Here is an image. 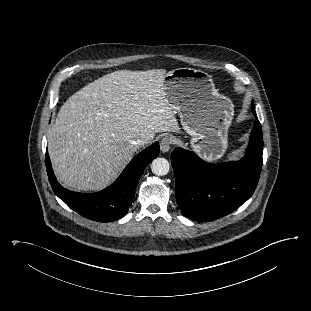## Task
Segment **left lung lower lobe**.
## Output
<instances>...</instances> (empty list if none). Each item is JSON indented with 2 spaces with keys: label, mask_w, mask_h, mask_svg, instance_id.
<instances>
[{
  "label": "left lung lower lobe",
  "mask_w": 311,
  "mask_h": 311,
  "mask_svg": "<svg viewBox=\"0 0 311 311\" xmlns=\"http://www.w3.org/2000/svg\"><path fill=\"white\" fill-rule=\"evenodd\" d=\"M253 113L256 116L255 111ZM263 136L258 119L247 153L238 162L207 163L195 153L175 148L171 163L175 194L182 213L195 221H213L239 208L253 194L261 172Z\"/></svg>",
  "instance_id": "obj_1"
}]
</instances>
